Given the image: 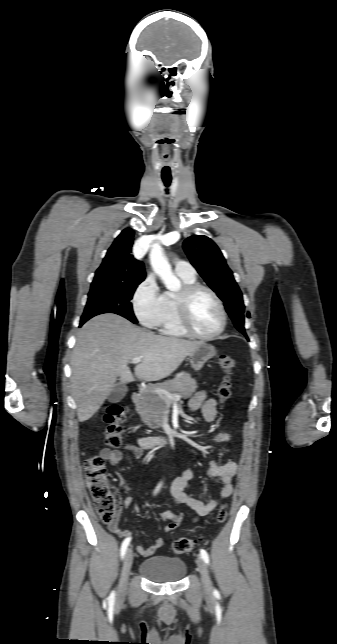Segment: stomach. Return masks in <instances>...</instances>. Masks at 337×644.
<instances>
[{"mask_svg": "<svg viewBox=\"0 0 337 644\" xmlns=\"http://www.w3.org/2000/svg\"><path fill=\"white\" fill-rule=\"evenodd\" d=\"M216 355L214 346L202 342L200 346L189 355L188 361L194 370H200L204 364Z\"/></svg>", "mask_w": 337, "mask_h": 644, "instance_id": "1", "label": "stomach"}]
</instances>
